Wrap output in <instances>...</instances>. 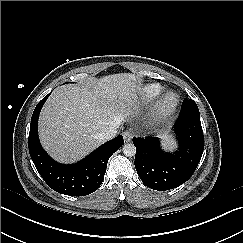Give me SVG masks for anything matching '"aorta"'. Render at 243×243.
<instances>
[{
	"label": "aorta",
	"mask_w": 243,
	"mask_h": 243,
	"mask_svg": "<svg viewBox=\"0 0 243 243\" xmlns=\"http://www.w3.org/2000/svg\"><path fill=\"white\" fill-rule=\"evenodd\" d=\"M123 153L127 157H132L136 154V147L132 143L125 144L123 146Z\"/></svg>",
	"instance_id": "obj_1"
}]
</instances>
